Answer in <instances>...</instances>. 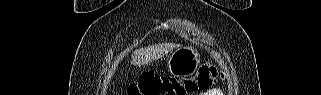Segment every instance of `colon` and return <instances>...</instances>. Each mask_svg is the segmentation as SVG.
<instances>
[{"label": "colon", "mask_w": 321, "mask_h": 95, "mask_svg": "<svg viewBox=\"0 0 321 95\" xmlns=\"http://www.w3.org/2000/svg\"><path fill=\"white\" fill-rule=\"evenodd\" d=\"M223 73L211 66H202L196 75L187 79H176L161 75H144L128 88L129 95H185L206 90Z\"/></svg>", "instance_id": "obj_1"}]
</instances>
